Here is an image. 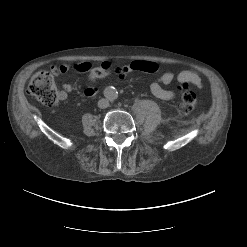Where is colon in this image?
I'll use <instances>...</instances> for the list:
<instances>
[{"label": "colon", "mask_w": 247, "mask_h": 247, "mask_svg": "<svg viewBox=\"0 0 247 247\" xmlns=\"http://www.w3.org/2000/svg\"><path fill=\"white\" fill-rule=\"evenodd\" d=\"M110 71V65L104 62L100 66L90 69L89 80L95 82L107 76ZM28 90L31 95L48 106L56 105L60 99L53 75L49 71L41 70L35 73L29 82ZM196 106L197 95L195 91L187 85H183L177 103V110L183 115H188L195 110Z\"/></svg>", "instance_id": "obj_1"}]
</instances>
